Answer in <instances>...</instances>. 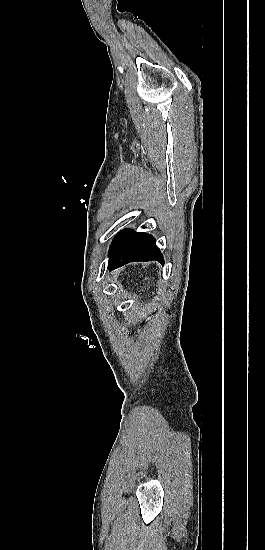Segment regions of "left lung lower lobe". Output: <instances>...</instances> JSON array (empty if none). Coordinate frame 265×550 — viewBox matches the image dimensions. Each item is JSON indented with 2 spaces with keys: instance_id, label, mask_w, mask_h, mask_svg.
<instances>
[{
  "instance_id": "0a47b994",
  "label": "left lung lower lobe",
  "mask_w": 265,
  "mask_h": 550,
  "mask_svg": "<svg viewBox=\"0 0 265 550\" xmlns=\"http://www.w3.org/2000/svg\"><path fill=\"white\" fill-rule=\"evenodd\" d=\"M156 260L164 263L155 239L148 234L131 232L113 251L109 252L110 270L133 261Z\"/></svg>"
}]
</instances>
